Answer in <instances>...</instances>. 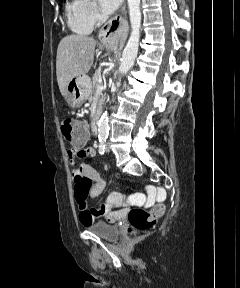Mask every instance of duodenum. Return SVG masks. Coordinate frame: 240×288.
Here are the masks:
<instances>
[{
  "label": "duodenum",
  "instance_id": "duodenum-1",
  "mask_svg": "<svg viewBox=\"0 0 240 288\" xmlns=\"http://www.w3.org/2000/svg\"><path fill=\"white\" fill-rule=\"evenodd\" d=\"M101 111L97 109L93 116H92V131L97 134L98 133V124H99V119H100Z\"/></svg>",
  "mask_w": 240,
  "mask_h": 288
}]
</instances>
